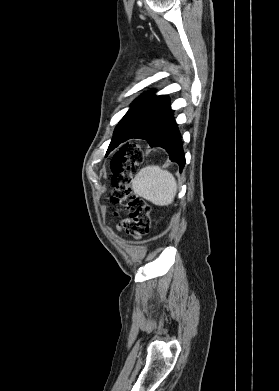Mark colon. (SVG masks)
Listing matches in <instances>:
<instances>
[{
  "instance_id": "obj_1",
  "label": "colon",
  "mask_w": 279,
  "mask_h": 391,
  "mask_svg": "<svg viewBox=\"0 0 279 391\" xmlns=\"http://www.w3.org/2000/svg\"><path fill=\"white\" fill-rule=\"evenodd\" d=\"M142 159L143 154L139 146L126 144L114 155L111 162V201L124 205L129 212L128 217L119 219L118 228L135 238L144 236L150 228V206L131 188L132 177Z\"/></svg>"
}]
</instances>
